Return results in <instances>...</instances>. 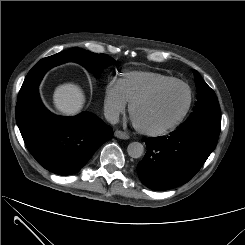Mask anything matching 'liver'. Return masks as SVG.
I'll use <instances>...</instances> for the list:
<instances>
[{"label":"liver","mask_w":245,"mask_h":245,"mask_svg":"<svg viewBox=\"0 0 245 245\" xmlns=\"http://www.w3.org/2000/svg\"><path fill=\"white\" fill-rule=\"evenodd\" d=\"M53 103L56 110L61 114L74 116L82 110L85 104V95L79 85L64 83L56 87Z\"/></svg>","instance_id":"obj_1"}]
</instances>
